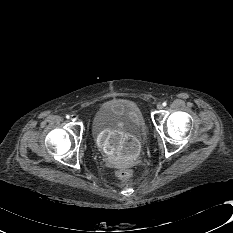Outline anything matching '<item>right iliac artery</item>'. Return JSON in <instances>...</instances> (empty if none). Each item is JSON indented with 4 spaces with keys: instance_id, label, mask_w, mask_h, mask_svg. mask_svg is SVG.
<instances>
[{
    "instance_id": "1",
    "label": "right iliac artery",
    "mask_w": 233,
    "mask_h": 233,
    "mask_svg": "<svg viewBox=\"0 0 233 233\" xmlns=\"http://www.w3.org/2000/svg\"><path fill=\"white\" fill-rule=\"evenodd\" d=\"M66 118H67V119H69V118H70V116H69V115H66Z\"/></svg>"
}]
</instances>
